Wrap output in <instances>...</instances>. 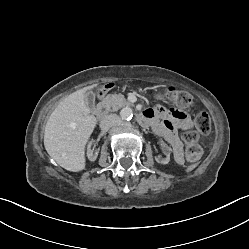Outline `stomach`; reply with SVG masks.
I'll use <instances>...</instances> for the list:
<instances>
[{
    "mask_svg": "<svg viewBox=\"0 0 249 249\" xmlns=\"http://www.w3.org/2000/svg\"><path fill=\"white\" fill-rule=\"evenodd\" d=\"M155 98L158 100H162L164 98V96L161 93H158L155 95Z\"/></svg>",
    "mask_w": 249,
    "mask_h": 249,
    "instance_id": "obj_1",
    "label": "stomach"
}]
</instances>
